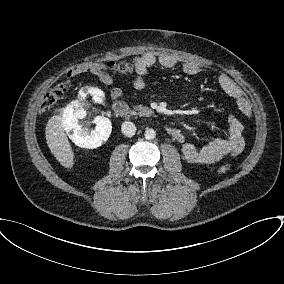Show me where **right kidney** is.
Returning a JSON list of instances; mask_svg holds the SVG:
<instances>
[{
	"mask_svg": "<svg viewBox=\"0 0 284 284\" xmlns=\"http://www.w3.org/2000/svg\"><path fill=\"white\" fill-rule=\"evenodd\" d=\"M88 94L93 95L97 102H102L104 92L96 87H82L79 98L84 99ZM86 116V111L79 102H72L63 113V126L70 139L81 148L93 149L101 146L109 138L112 125L111 121L103 116L94 119L96 125L94 130H89L80 125L79 120Z\"/></svg>",
	"mask_w": 284,
	"mask_h": 284,
	"instance_id": "ca27d5eb",
	"label": "right kidney"
}]
</instances>
